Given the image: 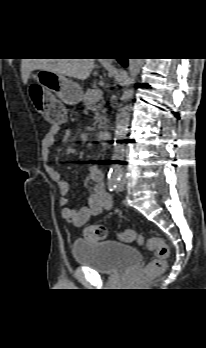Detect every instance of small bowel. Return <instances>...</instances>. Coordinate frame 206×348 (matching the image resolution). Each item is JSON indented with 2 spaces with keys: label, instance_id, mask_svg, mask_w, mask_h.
<instances>
[{
  "label": "small bowel",
  "instance_id": "obj_1",
  "mask_svg": "<svg viewBox=\"0 0 206 348\" xmlns=\"http://www.w3.org/2000/svg\"><path fill=\"white\" fill-rule=\"evenodd\" d=\"M59 126H51L46 132L41 143L42 159L45 165L46 172L52 181H54L60 193L59 202L63 206L62 216L68 222L76 226L85 224L92 216L99 215L105 210L112 208L113 202L111 197L105 191L103 184V174L99 166L90 165L86 182L95 184L92 192L89 194L87 205L79 210L66 207L68 203V195L70 192L69 184L61 178L60 173L50 164L49 154L51 147L57 142ZM70 135V130H66L61 137V140L67 139Z\"/></svg>",
  "mask_w": 206,
  "mask_h": 348
}]
</instances>
